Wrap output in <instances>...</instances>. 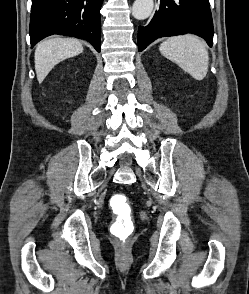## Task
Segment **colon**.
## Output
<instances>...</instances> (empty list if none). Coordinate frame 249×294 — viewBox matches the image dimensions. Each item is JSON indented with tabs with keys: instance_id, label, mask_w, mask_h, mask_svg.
I'll use <instances>...</instances> for the list:
<instances>
[{
	"instance_id": "5ec220e1",
	"label": "colon",
	"mask_w": 249,
	"mask_h": 294,
	"mask_svg": "<svg viewBox=\"0 0 249 294\" xmlns=\"http://www.w3.org/2000/svg\"><path fill=\"white\" fill-rule=\"evenodd\" d=\"M127 202V197L121 194L115 195L112 199V206L118 214L112 224V232L121 243H126L134 231V223L127 215Z\"/></svg>"
}]
</instances>
